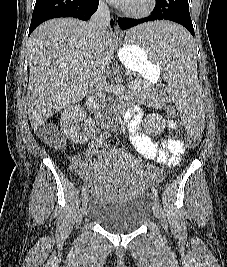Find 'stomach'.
<instances>
[{
	"label": "stomach",
	"mask_w": 227,
	"mask_h": 267,
	"mask_svg": "<svg viewBox=\"0 0 227 267\" xmlns=\"http://www.w3.org/2000/svg\"><path fill=\"white\" fill-rule=\"evenodd\" d=\"M120 58L128 69L145 80L153 82L158 77L161 63H155V59H148L143 47H131V43H124Z\"/></svg>",
	"instance_id": "stomach-1"
}]
</instances>
